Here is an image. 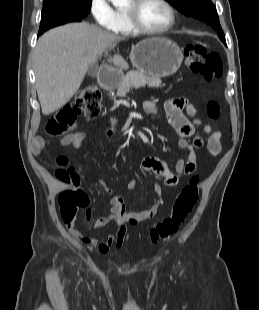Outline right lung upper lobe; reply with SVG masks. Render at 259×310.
<instances>
[{
	"instance_id": "obj_1",
	"label": "right lung upper lobe",
	"mask_w": 259,
	"mask_h": 310,
	"mask_svg": "<svg viewBox=\"0 0 259 310\" xmlns=\"http://www.w3.org/2000/svg\"><path fill=\"white\" fill-rule=\"evenodd\" d=\"M50 1H56V0H44L43 2H50Z\"/></svg>"
}]
</instances>
